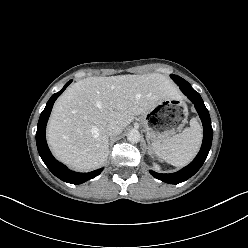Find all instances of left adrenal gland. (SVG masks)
Masks as SVG:
<instances>
[{"mask_svg": "<svg viewBox=\"0 0 248 248\" xmlns=\"http://www.w3.org/2000/svg\"><path fill=\"white\" fill-rule=\"evenodd\" d=\"M150 147V146H149ZM148 153L150 154V155H152V150H151V147L149 148V150H148Z\"/></svg>", "mask_w": 248, "mask_h": 248, "instance_id": "left-adrenal-gland-1", "label": "left adrenal gland"}]
</instances>
